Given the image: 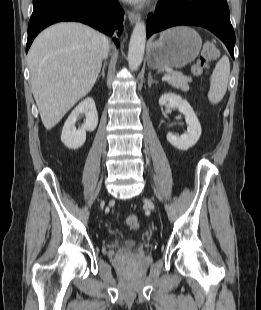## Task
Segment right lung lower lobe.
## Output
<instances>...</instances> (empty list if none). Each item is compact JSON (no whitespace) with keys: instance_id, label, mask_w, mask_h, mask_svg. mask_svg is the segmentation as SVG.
Instances as JSON below:
<instances>
[{"instance_id":"98d812e1","label":"right lung lower lobe","mask_w":261,"mask_h":310,"mask_svg":"<svg viewBox=\"0 0 261 310\" xmlns=\"http://www.w3.org/2000/svg\"><path fill=\"white\" fill-rule=\"evenodd\" d=\"M124 11L117 0H33L26 53L37 34L60 21H79L107 35L123 30ZM119 46V41L113 38Z\"/></svg>"}]
</instances>
